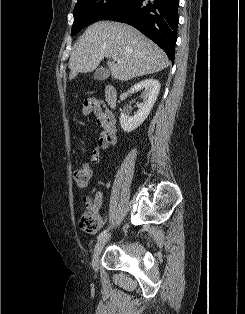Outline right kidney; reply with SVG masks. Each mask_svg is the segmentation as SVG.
Here are the masks:
<instances>
[{
  "label": "right kidney",
  "instance_id": "right-kidney-1",
  "mask_svg": "<svg viewBox=\"0 0 245 314\" xmlns=\"http://www.w3.org/2000/svg\"><path fill=\"white\" fill-rule=\"evenodd\" d=\"M139 90H144V101L137 105V113L132 117H129L124 113L120 114L119 120L121 128L128 133L138 128L150 114L160 91V83L155 79H146L135 84L130 89L132 93Z\"/></svg>",
  "mask_w": 245,
  "mask_h": 314
}]
</instances>
